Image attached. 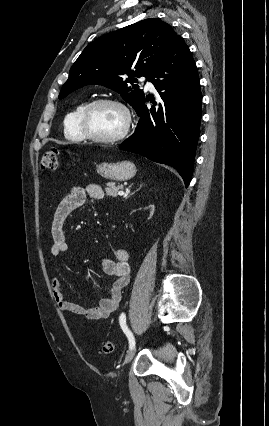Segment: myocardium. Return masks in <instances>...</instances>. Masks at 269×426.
Here are the masks:
<instances>
[{"label":"myocardium","instance_id":"myocardium-1","mask_svg":"<svg viewBox=\"0 0 269 426\" xmlns=\"http://www.w3.org/2000/svg\"><path fill=\"white\" fill-rule=\"evenodd\" d=\"M98 105H111L117 107L124 116V125L122 129L113 136L102 137L92 133L88 126V117L91 110ZM132 124L131 113L127 106L122 102L111 99V98H98L90 101L84 107L81 116H80V127L85 136V138L90 139L95 142L103 143V144H114L121 140H123L129 133Z\"/></svg>","mask_w":269,"mask_h":426}]
</instances>
